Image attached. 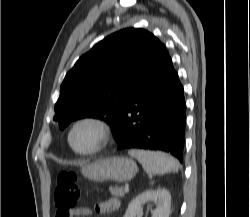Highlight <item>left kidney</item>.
I'll return each instance as SVG.
<instances>
[{
  "label": "left kidney",
  "instance_id": "obj_1",
  "mask_svg": "<svg viewBox=\"0 0 250 217\" xmlns=\"http://www.w3.org/2000/svg\"><path fill=\"white\" fill-rule=\"evenodd\" d=\"M153 202L156 208L152 211V217H169L171 208V195L165 188L146 190L139 194L128 205L124 217H139L142 205Z\"/></svg>",
  "mask_w": 250,
  "mask_h": 217
}]
</instances>
